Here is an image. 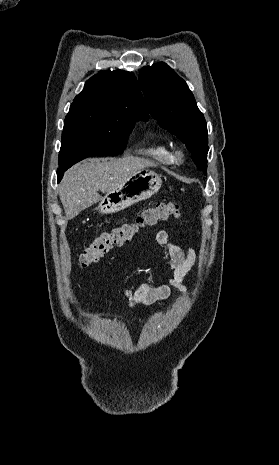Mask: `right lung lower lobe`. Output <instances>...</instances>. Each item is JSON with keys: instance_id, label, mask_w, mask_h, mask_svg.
Segmentation results:
<instances>
[{"instance_id": "right-lung-lower-lobe-1", "label": "right lung lower lobe", "mask_w": 279, "mask_h": 465, "mask_svg": "<svg viewBox=\"0 0 279 465\" xmlns=\"http://www.w3.org/2000/svg\"><path fill=\"white\" fill-rule=\"evenodd\" d=\"M67 169H68V168L58 169V171H57L58 181L61 180V178L63 177L64 172H65Z\"/></svg>"}]
</instances>
